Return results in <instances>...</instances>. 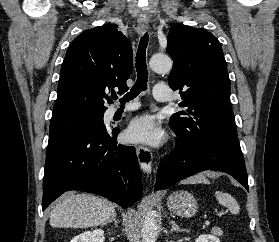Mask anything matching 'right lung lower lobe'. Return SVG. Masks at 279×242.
I'll return each instance as SVG.
<instances>
[{"label": "right lung lower lobe", "instance_id": "98d812e1", "mask_svg": "<svg viewBox=\"0 0 279 242\" xmlns=\"http://www.w3.org/2000/svg\"><path fill=\"white\" fill-rule=\"evenodd\" d=\"M118 128L104 126L49 142L43 178L42 209L68 190L101 195L119 205L142 197L134 147L117 144Z\"/></svg>", "mask_w": 279, "mask_h": 242}]
</instances>
